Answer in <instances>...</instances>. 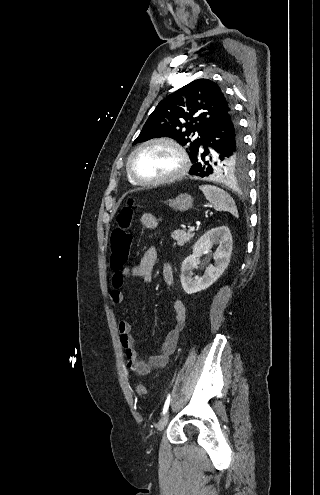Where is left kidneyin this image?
Masks as SVG:
<instances>
[{
  "mask_svg": "<svg viewBox=\"0 0 320 495\" xmlns=\"http://www.w3.org/2000/svg\"><path fill=\"white\" fill-rule=\"evenodd\" d=\"M214 245L218 248L213 254L214 264L209 265L203 276L193 278L192 270L200 256L209 253ZM232 254V236L228 227L222 226L205 233L194 245L193 254L185 258L181 266V284L187 294H193L210 287L227 268Z\"/></svg>",
  "mask_w": 320,
  "mask_h": 495,
  "instance_id": "5707ae66",
  "label": "left kidney"
}]
</instances>
